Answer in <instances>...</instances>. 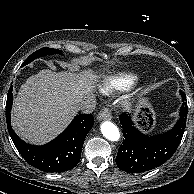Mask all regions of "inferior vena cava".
<instances>
[{
	"label": "inferior vena cava",
	"mask_w": 194,
	"mask_h": 194,
	"mask_svg": "<svg viewBox=\"0 0 194 194\" xmlns=\"http://www.w3.org/2000/svg\"><path fill=\"white\" fill-rule=\"evenodd\" d=\"M96 107V99L94 96H88L79 103V110L83 113H92Z\"/></svg>",
	"instance_id": "1"
}]
</instances>
